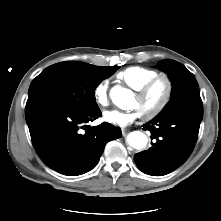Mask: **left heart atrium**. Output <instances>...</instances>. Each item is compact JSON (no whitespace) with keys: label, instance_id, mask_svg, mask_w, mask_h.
Wrapping results in <instances>:
<instances>
[{"label":"left heart atrium","instance_id":"left-heart-atrium-1","mask_svg":"<svg viewBox=\"0 0 221 221\" xmlns=\"http://www.w3.org/2000/svg\"><path fill=\"white\" fill-rule=\"evenodd\" d=\"M140 112L137 109L131 111L110 110L104 113V119L114 125L126 127L132 124L140 117Z\"/></svg>","mask_w":221,"mask_h":221}]
</instances>
